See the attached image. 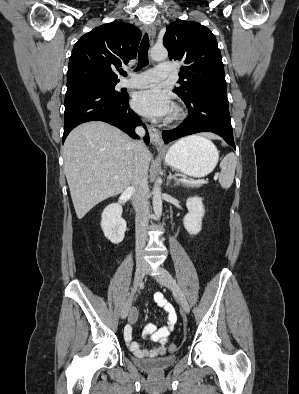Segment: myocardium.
Here are the masks:
<instances>
[{
  "label": "myocardium",
  "mask_w": 299,
  "mask_h": 394,
  "mask_svg": "<svg viewBox=\"0 0 299 394\" xmlns=\"http://www.w3.org/2000/svg\"><path fill=\"white\" fill-rule=\"evenodd\" d=\"M184 117H185V112L180 107H176L173 114L171 115V117L169 119V122L176 123V122L183 120Z\"/></svg>",
  "instance_id": "obj_1"
}]
</instances>
